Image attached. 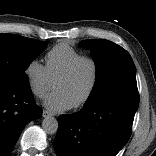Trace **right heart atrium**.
Here are the masks:
<instances>
[{"label":"right heart atrium","instance_id":"d8ad5b80","mask_svg":"<svg viewBox=\"0 0 156 156\" xmlns=\"http://www.w3.org/2000/svg\"><path fill=\"white\" fill-rule=\"evenodd\" d=\"M24 76L30 91L38 98L44 97L52 88L53 82L48 76L45 65L36 59L28 62L24 69Z\"/></svg>","mask_w":156,"mask_h":156}]
</instances>
